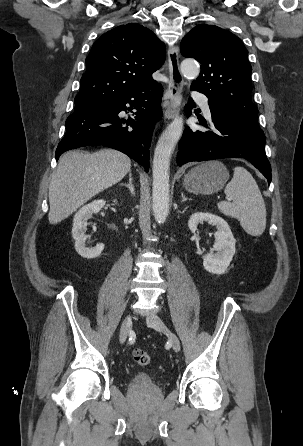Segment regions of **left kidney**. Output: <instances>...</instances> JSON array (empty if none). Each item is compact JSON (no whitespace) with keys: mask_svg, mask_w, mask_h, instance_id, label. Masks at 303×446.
Wrapping results in <instances>:
<instances>
[{"mask_svg":"<svg viewBox=\"0 0 303 446\" xmlns=\"http://www.w3.org/2000/svg\"><path fill=\"white\" fill-rule=\"evenodd\" d=\"M204 221L215 225L217 231L214 234L215 243L212 251L203 256V266L210 273L223 274L235 254L236 240L228 223L223 218L208 212H197L191 215L188 221L190 231L194 233L198 224Z\"/></svg>","mask_w":303,"mask_h":446,"instance_id":"1","label":"left kidney"}]
</instances>
